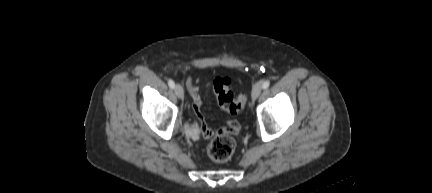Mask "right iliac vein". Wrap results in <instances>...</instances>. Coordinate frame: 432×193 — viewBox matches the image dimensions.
I'll use <instances>...</instances> for the list:
<instances>
[{
	"instance_id": "obj_1",
	"label": "right iliac vein",
	"mask_w": 432,
	"mask_h": 193,
	"mask_svg": "<svg viewBox=\"0 0 432 193\" xmlns=\"http://www.w3.org/2000/svg\"><path fill=\"white\" fill-rule=\"evenodd\" d=\"M174 91H175L176 96H177L179 99H183V97H184V90H183V88H182L181 85L177 84V85L174 87Z\"/></svg>"
}]
</instances>
